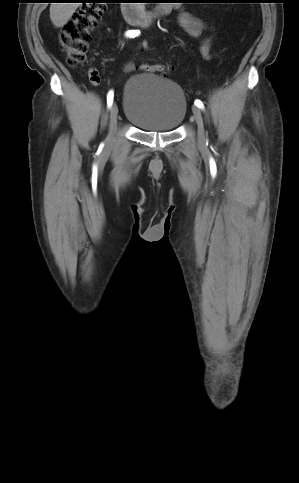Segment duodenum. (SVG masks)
Returning <instances> with one entry per match:
<instances>
[{"mask_svg":"<svg viewBox=\"0 0 299 483\" xmlns=\"http://www.w3.org/2000/svg\"><path fill=\"white\" fill-rule=\"evenodd\" d=\"M121 10L124 19L128 23L147 27L155 19L166 16L170 12L171 7L166 3H162L153 10L148 11L135 0H124Z\"/></svg>","mask_w":299,"mask_h":483,"instance_id":"410a0bca","label":"duodenum"}]
</instances>
